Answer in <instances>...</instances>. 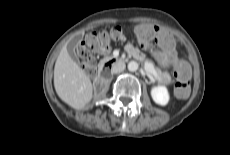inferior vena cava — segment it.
<instances>
[{
  "label": "inferior vena cava",
  "instance_id": "obj_1",
  "mask_svg": "<svg viewBox=\"0 0 230 155\" xmlns=\"http://www.w3.org/2000/svg\"><path fill=\"white\" fill-rule=\"evenodd\" d=\"M125 69V63L123 61H118L113 64L111 68V73H120Z\"/></svg>",
  "mask_w": 230,
  "mask_h": 155
}]
</instances>
